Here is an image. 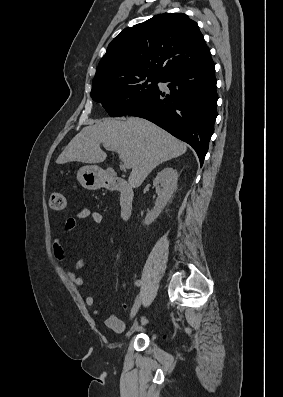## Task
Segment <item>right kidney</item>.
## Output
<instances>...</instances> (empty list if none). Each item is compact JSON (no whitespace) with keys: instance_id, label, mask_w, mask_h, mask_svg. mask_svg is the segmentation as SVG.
Here are the masks:
<instances>
[{"instance_id":"obj_1","label":"right kidney","mask_w":283,"mask_h":397,"mask_svg":"<svg viewBox=\"0 0 283 397\" xmlns=\"http://www.w3.org/2000/svg\"><path fill=\"white\" fill-rule=\"evenodd\" d=\"M178 177L177 170L171 167H166L157 174L153 181V186L156 188L157 200L154 208L145 217V225H150L163 211L167 202L177 189Z\"/></svg>"}]
</instances>
